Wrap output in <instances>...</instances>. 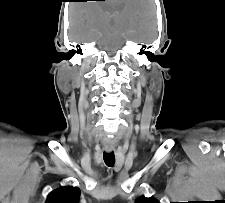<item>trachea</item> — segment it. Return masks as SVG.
<instances>
[{
    "mask_svg": "<svg viewBox=\"0 0 225 203\" xmlns=\"http://www.w3.org/2000/svg\"><path fill=\"white\" fill-rule=\"evenodd\" d=\"M103 159H104L105 164L109 167H111L115 164V155L113 152H110V153L104 152Z\"/></svg>",
    "mask_w": 225,
    "mask_h": 203,
    "instance_id": "trachea-1",
    "label": "trachea"
}]
</instances>
